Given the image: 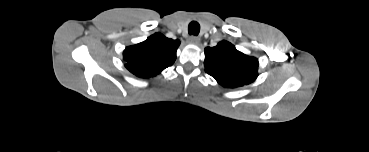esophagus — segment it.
Wrapping results in <instances>:
<instances>
[{"label": "esophagus", "instance_id": "obj_1", "mask_svg": "<svg viewBox=\"0 0 369 152\" xmlns=\"http://www.w3.org/2000/svg\"><path fill=\"white\" fill-rule=\"evenodd\" d=\"M188 42L194 45H198L200 43V38H198L197 36H191L188 39Z\"/></svg>", "mask_w": 369, "mask_h": 152}]
</instances>
